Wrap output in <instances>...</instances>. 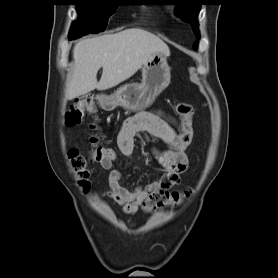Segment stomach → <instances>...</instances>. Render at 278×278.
I'll return each instance as SVG.
<instances>
[{"label": "stomach", "mask_w": 278, "mask_h": 278, "mask_svg": "<svg viewBox=\"0 0 278 278\" xmlns=\"http://www.w3.org/2000/svg\"><path fill=\"white\" fill-rule=\"evenodd\" d=\"M170 53L157 52L142 66V81L126 84L110 96H102L100 105L106 110L117 106L136 112L149 107L155 98L169 85L171 68L168 65Z\"/></svg>", "instance_id": "stomach-1"}]
</instances>
